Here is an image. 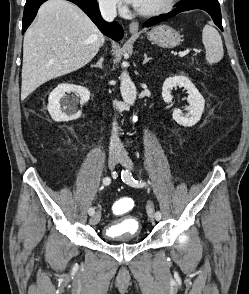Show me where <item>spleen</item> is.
Returning <instances> with one entry per match:
<instances>
[{"mask_svg":"<svg viewBox=\"0 0 249 294\" xmlns=\"http://www.w3.org/2000/svg\"><path fill=\"white\" fill-rule=\"evenodd\" d=\"M202 42L206 50L207 63H218L224 56L223 44L218 31L210 26L205 25L202 32Z\"/></svg>","mask_w":249,"mask_h":294,"instance_id":"obj_1","label":"spleen"}]
</instances>
